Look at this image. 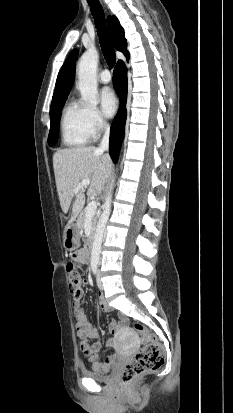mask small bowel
<instances>
[{
  "mask_svg": "<svg viewBox=\"0 0 233 413\" xmlns=\"http://www.w3.org/2000/svg\"><path fill=\"white\" fill-rule=\"evenodd\" d=\"M73 265L75 267H80L82 261L85 260V249L83 247H76L74 253L71 256ZM83 297V286H80L76 291L73 292V307H74V316L76 319V329L77 335L79 337V347L84 356L92 364L95 370L107 369V366L114 361L115 356H108L104 362H99L97 360V355L101 349V343L99 340L98 330L87 322L86 315L83 308L81 307V300ZM101 308L110 312L112 308L106 302L105 298L102 295L98 297ZM119 328V324L111 323L110 330L114 333ZM90 340H93V343L90 344ZM107 345H115L114 340H110Z\"/></svg>",
  "mask_w": 233,
  "mask_h": 413,
  "instance_id": "c3829d8e",
  "label": "small bowel"
}]
</instances>
